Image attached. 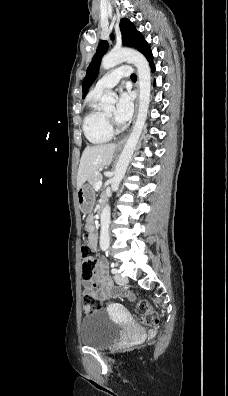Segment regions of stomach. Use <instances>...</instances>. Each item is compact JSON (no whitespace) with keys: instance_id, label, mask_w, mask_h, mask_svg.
Wrapping results in <instances>:
<instances>
[{"instance_id":"stomach-1","label":"stomach","mask_w":228,"mask_h":396,"mask_svg":"<svg viewBox=\"0 0 228 396\" xmlns=\"http://www.w3.org/2000/svg\"><path fill=\"white\" fill-rule=\"evenodd\" d=\"M77 200L82 213H91L95 204L94 189L89 184L82 185L77 190Z\"/></svg>"}]
</instances>
